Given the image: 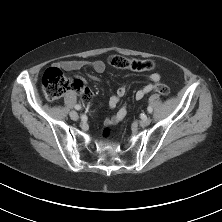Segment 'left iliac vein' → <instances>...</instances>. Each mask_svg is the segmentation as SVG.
Wrapping results in <instances>:
<instances>
[{
    "mask_svg": "<svg viewBox=\"0 0 222 222\" xmlns=\"http://www.w3.org/2000/svg\"><path fill=\"white\" fill-rule=\"evenodd\" d=\"M151 122V118L150 117H144L140 122V126L145 127L148 126Z\"/></svg>",
    "mask_w": 222,
    "mask_h": 222,
    "instance_id": "left-iliac-vein-1",
    "label": "left iliac vein"
}]
</instances>
